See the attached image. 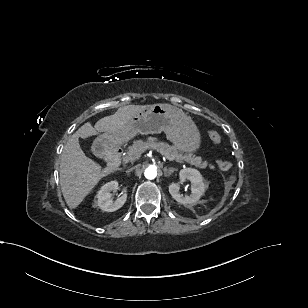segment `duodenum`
Masks as SVG:
<instances>
[{
    "label": "duodenum",
    "instance_id": "1",
    "mask_svg": "<svg viewBox=\"0 0 308 308\" xmlns=\"http://www.w3.org/2000/svg\"><path fill=\"white\" fill-rule=\"evenodd\" d=\"M99 153L109 162L111 168H115L120 164L123 149L117 145H110L101 147Z\"/></svg>",
    "mask_w": 308,
    "mask_h": 308
}]
</instances>
